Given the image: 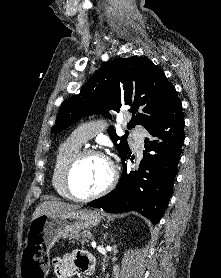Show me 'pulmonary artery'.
I'll use <instances>...</instances> for the list:
<instances>
[{"label": "pulmonary artery", "instance_id": "e3ab8cb5", "mask_svg": "<svg viewBox=\"0 0 221 278\" xmlns=\"http://www.w3.org/2000/svg\"><path fill=\"white\" fill-rule=\"evenodd\" d=\"M101 125L97 123H87L81 125L78 129H76L73 133V137L78 141L85 143L90 138H92L95 134L101 131ZM134 145L136 149H140L144 142V131L136 130L133 134Z\"/></svg>", "mask_w": 221, "mask_h": 278}]
</instances>
